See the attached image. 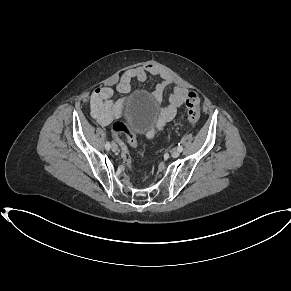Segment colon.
Wrapping results in <instances>:
<instances>
[{"label": "colon", "instance_id": "1", "mask_svg": "<svg viewBox=\"0 0 291 291\" xmlns=\"http://www.w3.org/2000/svg\"><path fill=\"white\" fill-rule=\"evenodd\" d=\"M186 118L190 122H195L199 119L200 116V97L195 92H189L186 99ZM112 131L115 139L118 141L120 150H121V157L123 162L127 167H131V160L128 151V147L135 148L137 146V139L134 132L122 122H115L112 126ZM125 135L127 138V145L120 140L119 136Z\"/></svg>", "mask_w": 291, "mask_h": 291}]
</instances>
